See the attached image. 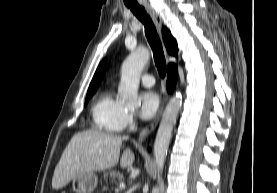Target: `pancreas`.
<instances>
[{
  "instance_id": "cf45deb5",
  "label": "pancreas",
  "mask_w": 277,
  "mask_h": 193,
  "mask_svg": "<svg viewBox=\"0 0 277 193\" xmlns=\"http://www.w3.org/2000/svg\"><path fill=\"white\" fill-rule=\"evenodd\" d=\"M104 177L107 179H111L112 182L115 180V179H118V180H122L123 179V174L119 171H116V170H109L108 172H104Z\"/></svg>"
}]
</instances>
